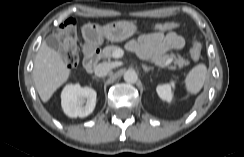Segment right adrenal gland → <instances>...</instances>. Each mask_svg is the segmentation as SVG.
I'll list each match as a JSON object with an SVG mask.
<instances>
[{"label": "right adrenal gland", "instance_id": "obj_1", "mask_svg": "<svg viewBox=\"0 0 244 157\" xmlns=\"http://www.w3.org/2000/svg\"><path fill=\"white\" fill-rule=\"evenodd\" d=\"M92 78L95 79V80H97V81H99V78L96 77V76H93Z\"/></svg>", "mask_w": 244, "mask_h": 157}]
</instances>
